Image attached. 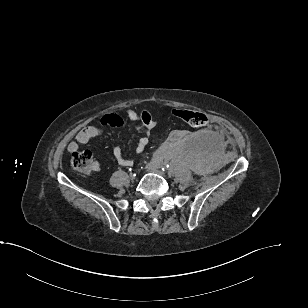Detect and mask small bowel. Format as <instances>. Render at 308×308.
<instances>
[{
  "instance_id": "c3829d8e",
  "label": "small bowel",
  "mask_w": 308,
  "mask_h": 308,
  "mask_svg": "<svg viewBox=\"0 0 308 308\" xmlns=\"http://www.w3.org/2000/svg\"><path fill=\"white\" fill-rule=\"evenodd\" d=\"M126 119L136 125L137 131L140 133V138L136 145V152L142 153L149 144L151 132L157 126L156 121L153 119L151 113L147 110L137 112L133 109L126 110ZM126 125V120L116 114H105L100 119V125H91L80 130L75 140L68 144V151L74 152L79 148V145L87 144L94 138L102 135L103 128H120ZM114 157L121 166H132L133 161L124 156L120 147H115L113 150ZM98 165L94 164V169H97Z\"/></svg>"
}]
</instances>
